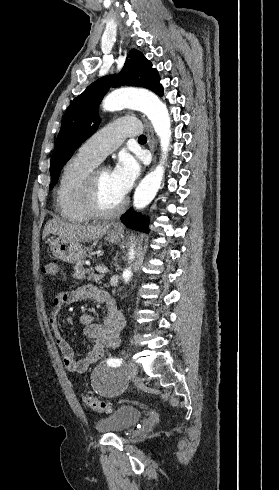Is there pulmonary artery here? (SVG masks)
<instances>
[{"instance_id":"pulmonary-artery-1","label":"pulmonary artery","mask_w":279,"mask_h":490,"mask_svg":"<svg viewBox=\"0 0 279 490\" xmlns=\"http://www.w3.org/2000/svg\"><path fill=\"white\" fill-rule=\"evenodd\" d=\"M142 124L137 117H119L93 133L79 148V153L99 164L110 152L115 150L124 137L141 131Z\"/></svg>"}]
</instances>
